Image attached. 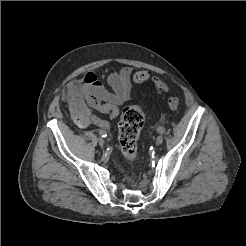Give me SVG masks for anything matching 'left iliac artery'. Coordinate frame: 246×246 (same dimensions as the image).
Returning a JSON list of instances; mask_svg holds the SVG:
<instances>
[{
	"label": "left iliac artery",
	"instance_id": "left-iliac-artery-1",
	"mask_svg": "<svg viewBox=\"0 0 246 246\" xmlns=\"http://www.w3.org/2000/svg\"><path fill=\"white\" fill-rule=\"evenodd\" d=\"M158 133L163 134L165 132V128L163 126L158 127Z\"/></svg>",
	"mask_w": 246,
	"mask_h": 246
}]
</instances>
